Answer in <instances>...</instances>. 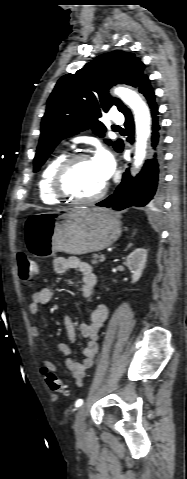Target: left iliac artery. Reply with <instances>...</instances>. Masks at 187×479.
<instances>
[{
  "instance_id": "obj_1",
  "label": "left iliac artery",
  "mask_w": 187,
  "mask_h": 479,
  "mask_svg": "<svg viewBox=\"0 0 187 479\" xmlns=\"http://www.w3.org/2000/svg\"><path fill=\"white\" fill-rule=\"evenodd\" d=\"M82 404H83V400H82V399H78V400L76 401V403H75V406H76V408H79V407L82 406Z\"/></svg>"
}]
</instances>
